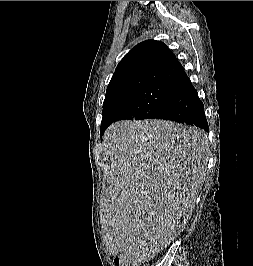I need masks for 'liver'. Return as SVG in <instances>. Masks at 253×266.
<instances>
[{"instance_id": "obj_1", "label": "liver", "mask_w": 253, "mask_h": 266, "mask_svg": "<svg viewBox=\"0 0 253 266\" xmlns=\"http://www.w3.org/2000/svg\"><path fill=\"white\" fill-rule=\"evenodd\" d=\"M110 180L102 228L109 252L135 263L181 234L205 180L207 135L165 120L119 121L103 136Z\"/></svg>"}]
</instances>
